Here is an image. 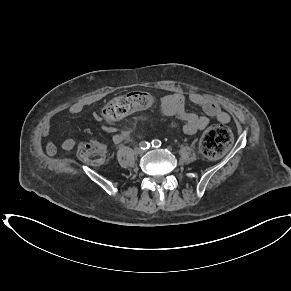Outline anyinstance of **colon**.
<instances>
[{"label":"colon","instance_id":"1","mask_svg":"<svg viewBox=\"0 0 291 291\" xmlns=\"http://www.w3.org/2000/svg\"><path fill=\"white\" fill-rule=\"evenodd\" d=\"M154 97L147 92L134 91L111 100L103 109L102 115L106 122H115L136 112L149 109L154 104ZM232 144L229 129L217 124L209 127L201 138V150L205 156L216 158L222 155ZM79 156L91 165H102L105 152L99 144L84 143L79 148Z\"/></svg>","mask_w":291,"mask_h":291}]
</instances>
